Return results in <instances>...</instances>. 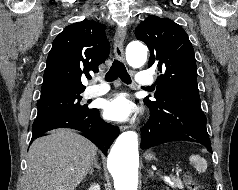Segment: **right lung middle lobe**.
<instances>
[{"instance_id": "right-lung-middle-lobe-1", "label": "right lung middle lobe", "mask_w": 238, "mask_h": 190, "mask_svg": "<svg viewBox=\"0 0 238 190\" xmlns=\"http://www.w3.org/2000/svg\"><path fill=\"white\" fill-rule=\"evenodd\" d=\"M81 99L80 93L41 99L37 102L38 113L36 118L63 112L87 110L88 107L86 105L80 104Z\"/></svg>"}]
</instances>
